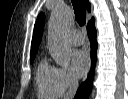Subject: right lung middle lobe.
Returning a JSON list of instances; mask_svg holds the SVG:
<instances>
[{"label": "right lung middle lobe", "mask_w": 128, "mask_h": 99, "mask_svg": "<svg viewBox=\"0 0 128 99\" xmlns=\"http://www.w3.org/2000/svg\"><path fill=\"white\" fill-rule=\"evenodd\" d=\"M35 58V56H31L30 57V63H32L33 59Z\"/></svg>", "instance_id": "obj_1"}]
</instances>
